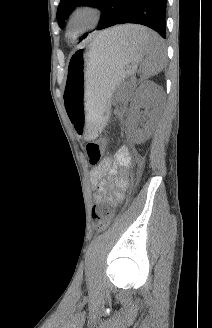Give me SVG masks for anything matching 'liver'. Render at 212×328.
Segmentation results:
<instances>
[{"label": "liver", "mask_w": 212, "mask_h": 328, "mask_svg": "<svg viewBox=\"0 0 212 328\" xmlns=\"http://www.w3.org/2000/svg\"><path fill=\"white\" fill-rule=\"evenodd\" d=\"M133 31L134 26L132 25L117 26L99 33L95 40H108L117 38L132 40Z\"/></svg>", "instance_id": "obj_1"}]
</instances>
